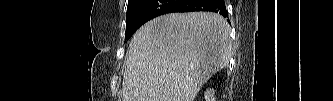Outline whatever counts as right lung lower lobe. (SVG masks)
Returning <instances> with one entry per match:
<instances>
[{
  "instance_id": "right-lung-lower-lobe-1",
  "label": "right lung lower lobe",
  "mask_w": 333,
  "mask_h": 101,
  "mask_svg": "<svg viewBox=\"0 0 333 101\" xmlns=\"http://www.w3.org/2000/svg\"><path fill=\"white\" fill-rule=\"evenodd\" d=\"M191 11H211L228 17L224 0H144L134 17L133 30L166 13Z\"/></svg>"
}]
</instances>
